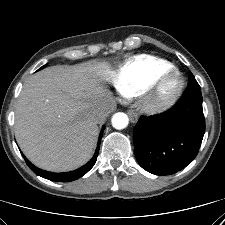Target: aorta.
I'll list each match as a JSON object with an SVG mask.
<instances>
[{
	"instance_id": "1",
	"label": "aorta",
	"mask_w": 225,
	"mask_h": 225,
	"mask_svg": "<svg viewBox=\"0 0 225 225\" xmlns=\"http://www.w3.org/2000/svg\"><path fill=\"white\" fill-rule=\"evenodd\" d=\"M111 122L115 129L121 130L128 126L129 118L125 113L118 112L113 115Z\"/></svg>"
}]
</instances>
